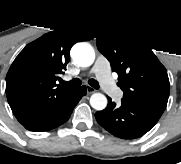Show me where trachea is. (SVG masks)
Here are the masks:
<instances>
[{"label": "trachea", "instance_id": "obj_1", "mask_svg": "<svg viewBox=\"0 0 181 164\" xmlns=\"http://www.w3.org/2000/svg\"><path fill=\"white\" fill-rule=\"evenodd\" d=\"M61 84L65 85L67 87H79L81 85V80L76 78V79H73V80H71L69 82L61 81ZM88 84L90 86H92L93 88H95V89L99 88L98 82L96 80H94V79H90L88 81Z\"/></svg>", "mask_w": 181, "mask_h": 164}]
</instances>
